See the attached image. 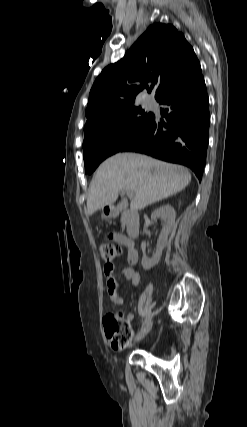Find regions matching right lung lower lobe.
<instances>
[{
	"label": "right lung lower lobe",
	"instance_id": "obj_1",
	"mask_svg": "<svg viewBox=\"0 0 247 427\" xmlns=\"http://www.w3.org/2000/svg\"><path fill=\"white\" fill-rule=\"evenodd\" d=\"M166 122L153 116L147 129L122 151L185 165L201 181L209 142V99L201 69L158 100Z\"/></svg>",
	"mask_w": 247,
	"mask_h": 427
}]
</instances>
